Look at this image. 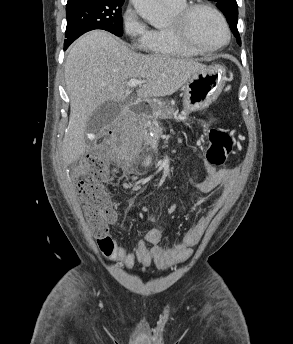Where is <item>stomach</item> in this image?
Wrapping results in <instances>:
<instances>
[{"instance_id":"1","label":"stomach","mask_w":293,"mask_h":344,"mask_svg":"<svg viewBox=\"0 0 293 344\" xmlns=\"http://www.w3.org/2000/svg\"><path fill=\"white\" fill-rule=\"evenodd\" d=\"M225 84V69L217 64L205 66L194 74L183 86L184 115L208 107L220 95ZM152 112L163 119L174 116V109L166 102L148 101Z\"/></svg>"}]
</instances>
